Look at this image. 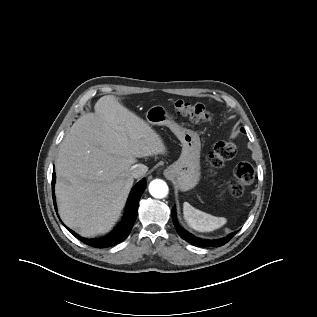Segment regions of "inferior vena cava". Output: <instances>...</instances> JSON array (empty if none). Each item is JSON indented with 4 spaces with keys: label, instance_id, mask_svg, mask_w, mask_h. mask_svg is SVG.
I'll list each match as a JSON object with an SVG mask.
<instances>
[{
    "label": "inferior vena cava",
    "instance_id": "inferior-vena-cava-1",
    "mask_svg": "<svg viewBox=\"0 0 317 317\" xmlns=\"http://www.w3.org/2000/svg\"><path fill=\"white\" fill-rule=\"evenodd\" d=\"M148 171V167L144 164H136L130 168V175L133 178H139L144 176L145 173Z\"/></svg>",
    "mask_w": 317,
    "mask_h": 317
}]
</instances>
